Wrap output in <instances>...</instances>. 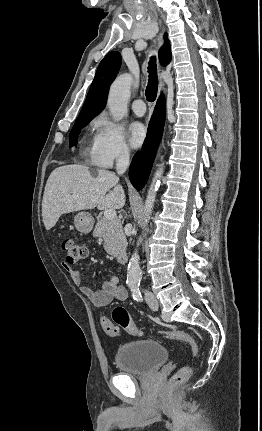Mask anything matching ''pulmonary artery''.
Segmentation results:
<instances>
[{"label":"pulmonary artery","mask_w":262,"mask_h":431,"mask_svg":"<svg viewBox=\"0 0 262 431\" xmlns=\"http://www.w3.org/2000/svg\"><path fill=\"white\" fill-rule=\"evenodd\" d=\"M132 110L135 115L142 116L146 112V106L142 99H136L132 103Z\"/></svg>","instance_id":"1"}]
</instances>
